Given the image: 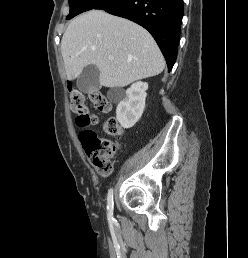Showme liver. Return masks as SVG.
<instances>
[{
	"label": "liver",
	"instance_id": "liver-1",
	"mask_svg": "<svg viewBox=\"0 0 248 258\" xmlns=\"http://www.w3.org/2000/svg\"><path fill=\"white\" fill-rule=\"evenodd\" d=\"M66 75L74 80L85 66L96 65L102 86L125 87L156 76L164 67V57L143 27L101 10L76 17L61 40ZM109 56H113L112 60Z\"/></svg>",
	"mask_w": 248,
	"mask_h": 258
}]
</instances>
